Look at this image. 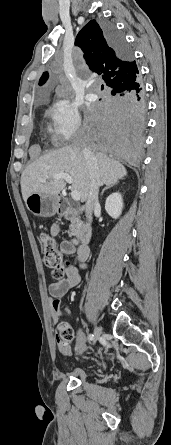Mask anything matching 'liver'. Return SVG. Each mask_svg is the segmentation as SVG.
<instances>
[{
	"mask_svg": "<svg viewBox=\"0 0 171 445\" xmlns=\"http://www.w3.org/2000/svg\"><path fill=\"white\" fill-rule=\"evenodd\" d=\"M82 145H70L46 153L27 166L21 176V191L26 201L32 193L58 196L65 188L64 179L55 180L53 175L67 173L72 179V189L80 192L81 201L87 200L90 191V174ZM101 185H110L127 175L126 168L117 160L102 157L95 152ZM44 180H48L44 182Z\"/></svg>",
	"mask_w": 171,
	"mask_h": 445,
	"instance_id": "1",
	"label": "liver"
}]
</instances>
